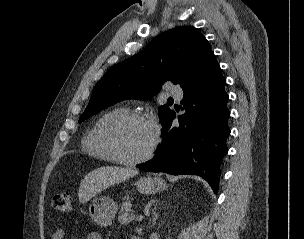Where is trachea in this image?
I'll return each instance as SVG.
<instances>
[{"label": "trachea", "mask_w": 304, "mask_h": 239, "mask_svg": "<svg viewBox=\"0 0 304 239\" xmlns=\"http://www.w3.org/2000/svg\"><path fill=\"white\" fill-rule=\"evenodd\" d=\"M168 101L173 102V99H172V98H169Z\"/></svg>", "instance_id": "1"}]
</instances>
